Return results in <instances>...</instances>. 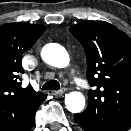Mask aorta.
I'll return each mask as SVG.
<instances>
[{"mask_svg":"<svg viewBox=\"0 0 131 131\" xmlns=\"http://www.w3.org/2000/svg\"><path fill=\"white\" fill-rule=\"evenodd\" d=\"M42 59L49 65L64 68L69 64L67 51L58 44H47L41 52ZM65 105L71 113H79L85 106V98L82 93L74 91L65 97Z\"/></svg>","mask_w":131,"mask_h":131,"instance_id":"1","label":"aorta"}]
</instances>
